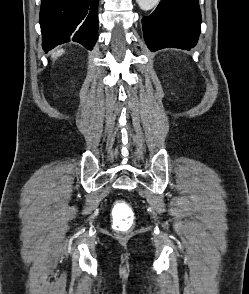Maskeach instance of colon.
Wrapping results in <instances>:
<instances>
[{"mask_svg":"<svg viewBox=\"0 0 249 294\" xmlns=\"http://www.w3.org/2000/svg\"><path fill=\"white\" fill-rule=\"evenodd\" d=\"M113 228L117 231H127L133 224V217L128 205L122 201L114 203Z\"/></svg>","mask_w":249,"mask_h":294,"instance_id":"obj_1","label":"colon"}]
</instances>
